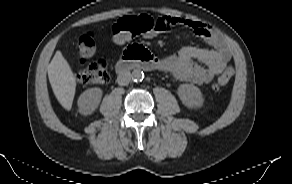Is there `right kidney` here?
<instances>
[{"mask_svg":"<svg viewBox=\"0 0 292 184\" xmlns=\"http://www.w3.org/2000/svg\"><path fill=\"white\" fill-rule=\"evenodd\" d=\"M102 98L100 88H90L84 91L78 99L79 112L83 115L91 114L99 106Z\"/></svg>","mask_w":292,"mask_h":184,"instance_id":"obj_1","label":"right kidney"}]
</instances>
